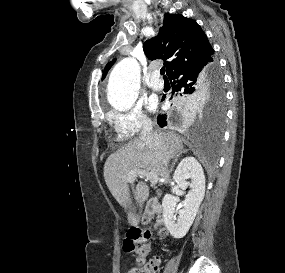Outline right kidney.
<instances>
[{
    "label": "right kidney",
    "instance_id": "1",
    "mask_svg": "<svg viewBox=\"0 0 285 273\" xmlns=\"http://www.w3.org/2000/svg\"><path fill=\"white\" fill-rule=\"evenodd\" d=\"M187 179L191 181L188 182ZM173 180L182 190L190 188L185 197L184 208L178 211L177 219L174 215L177 211V199L171 194H166L162 201L164 224L174 238L180 239L193 224L204 198L205 175L199 162L194 157L188 156L179 163Z\"/></svg>",
    "mask_w": 285,
    "mask_h": 273
}]
</instances>
